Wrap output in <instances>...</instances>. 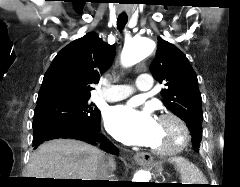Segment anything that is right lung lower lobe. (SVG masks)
<instances>
[{
    "mask_svg": "<svg viewBox=\"0 0 240 187\" xmlns=\"http://www.w3.org/2000/svg\"><path fill=\"white\" fill-rule=\"evenodd\" d=\"M100 116L98 119L87 125H75L60 119H52L43 122L34 127L33 146L37 148L44 141L58 139V138H73L85 141L89 144L95 145L101 142L100 148L106 152L118 155V149L108 140L103 139L100 134ZM98 186H112V184L98 185Z\"/></svg>",
    "mask_w": 240,
    "mask_h": 187,
    "instance_id": "obj_1",
    "label": "right lung lower lobe"
}]
</instances>
